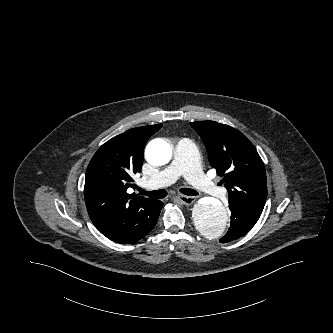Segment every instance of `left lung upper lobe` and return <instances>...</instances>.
Wrapping results in <instances>:
<instances>
[{
	"instance_id": "1",
	"label": "left lung upper lobe",
	"mask_w": 333,
	"mask_h": 333,
	"mask_svg": "<svg viewBox=\"0 0 333 333\" xmlns=\"http://www.w3.org/2000/svg\"><path fill=\"white\" fill-rule=\"evenodd\" d=\"M190 125L203 139L209 162L229 194V206L261 215L267 198L266 173L254 145L237 129L214 121Z\"/></svg>"
}]
</instances>
